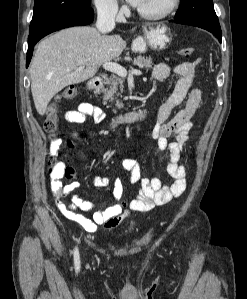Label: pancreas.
I'll return each instance as SVG.
<instances>
[{
	"label": "pancreas",
	"instance_id": "obj_1",
	"mask_svg": "<svg viewBox=\"0 0 247 299\" xmlns=\"http://www.w3.org/2000/svg\"><path fill=\"white\" fill-rule=\"evenodd\" d=\"M133 64L137 65L138 67L145 68L146 70L152 68L153 66L151 58L142 56L134 58ZM105 85L107 87L102 90V92L104 93L103 103L106 104L107 101H115L117 108H122L123 104L119 99H117V96L123 93V79L118 75H111L106 79ZM119 90L120 93L118 92Z\"/></svg>",
	"mask_w": 247,
	"mask_h": 299
}]
</instances>
